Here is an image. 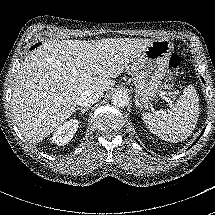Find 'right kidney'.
I'll return each mask as SVG.
<instances>
[{
    "instance_id": "obj_1",
    "label": "right kidney",
    "mask_w": 215,
    "mask_h": 215,
    "mask_svg": "<svg viewBox=\"0 0 215 215\" xmlns=\"http://www.w3.org/2000/svg\"><path fill=\"white\" fill-rule=\"evenodd\" d=\"M78 124L77 120H71L58 127L52 137L53 142L58 145L67 144L73 138Z\"/></svg>"
}]
</instances>
